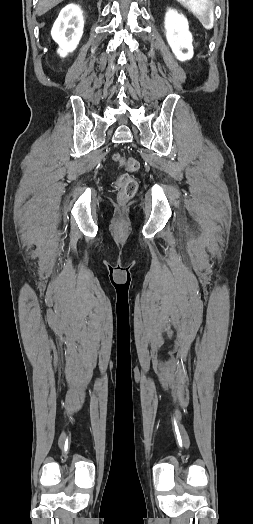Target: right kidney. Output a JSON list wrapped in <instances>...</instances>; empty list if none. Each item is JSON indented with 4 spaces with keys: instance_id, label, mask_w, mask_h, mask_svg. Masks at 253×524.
I'll return each mask as SVG.
<instances>
[{
    "instance_id": "right-kidney-1",
    "label": "right kidney",
    "mask_w": 253,
    "mask_h": 524,
    "mask_svg": "<svg viewBox=\"0 0 253 524\" xmlns=\"http://www.w3.org/2000/svg\"><path fill=\"white\" fill-rule=\"evenodd\" d=\"M84 28L82 10L78 5L69 4L64 7L55 21L51 35L59 44L58 53L65 57L77 47Z\"/></svg>"
}]
</instances>
